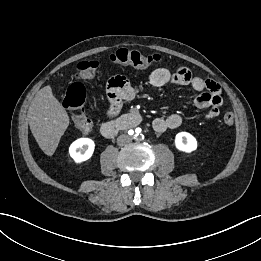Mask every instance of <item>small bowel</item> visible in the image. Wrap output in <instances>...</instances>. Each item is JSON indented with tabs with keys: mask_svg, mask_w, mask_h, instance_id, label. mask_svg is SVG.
<instances>
[{
	"mask_svg": "<svg viewBox=\"0 0 261 261\" xmlns=\"http://www.w3.org/2000/svg\"><path fill=\"white\" fill-rule=\"evenodd\" d=\"M148 82L153 87H162L167 84L190 86L200 94L195 99V105L200 109H207L205 119H213L219 115V107L222 104L220 86L211 79L193 76L186 67H179L175 72H170L165 67H156L149 75ZM138 89L132 86L122 75L112 77L107 86V99L109 113L116 114L122 102L135 98ZM182 124V117L172 113L166 117H157L153 120V128L156 132H164L167 129L178 128Z\"/></svg>",
	"mask_w": 261,
	"mask_h": 261,
	"instance_id": "obj_1",
	"label": "small bowel"
}]
</instances>
